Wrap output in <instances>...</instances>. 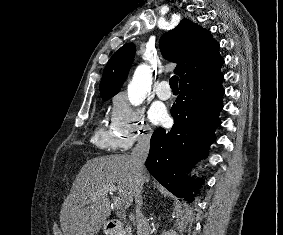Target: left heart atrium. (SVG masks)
<instances>
[{"instance_id": "left-heart-atrium-1", "label": "left heart atrium", "mask_w": 283, "mask_h": 235, "mask_svg": "<svg viewBox=\"0 0 283 235\" xmlns=\"http://www.w3.org/2000/svg\"><path fill=\"white\" fill-rule=\"evenodd\" d=\"M150 119L156 124H165L169 117L167 111L162 106H155L150 110Z\"/></svg>"}]
</instances>
